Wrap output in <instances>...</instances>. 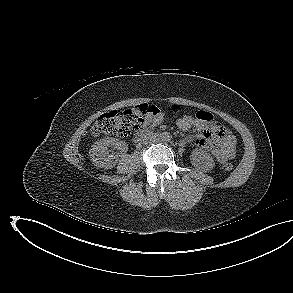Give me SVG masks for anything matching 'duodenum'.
<instances>
[{"mask_svg": "<svg viewBox=\"0 0 293 293\" xmlns=\"http://www.w3.org/2000/svg\"><path fill=\"white\" fill-rule=\"evenodd\" d=\"M149 135L150 133L148 131H139L134 135L133 141L134 143H140L144 138H146Z\"/></svg>", "mask_w": 293, "mask_h": 293, "instance_id": "1", "label": "duodenum"}]
</instances>
